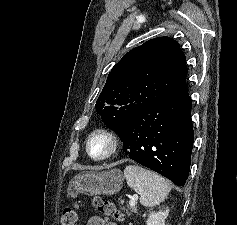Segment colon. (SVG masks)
I'll return each instance as SVG.
<instances>
[{
    "mask_svg": "<svg viewBox=\"0 0 237 225\" xmlns=\"http://www.w3.org/2000/svg\"><path fill=\"white\" fill-rule=\"evenodd\" d=\"M92 205L103 215L111 216L118 221L123 220V213L112 202L103 197L95 196L92 199ZM77 223L78 215L76 211L70 207L65 208L61 218V225H77Z\"/></svg>",
    "mask_w": 237,
    "mask_h": 225,
    "instance_id": "1",
    "label": "colon"
}]
</instances>
